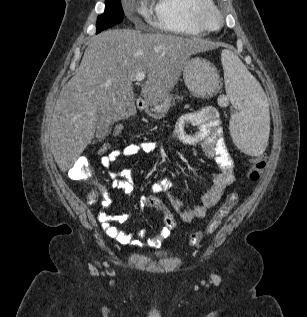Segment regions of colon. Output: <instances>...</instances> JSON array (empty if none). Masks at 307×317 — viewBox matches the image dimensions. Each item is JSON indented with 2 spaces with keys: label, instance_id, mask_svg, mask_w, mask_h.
I'll return each instance as SVG.
<instances>
[{
  "label": "colon",
  "instance_id": "1",
  "mask_svg": "<svg viewBox=\"0 0 307 317\" xmlns=\"http://www.w3.org/2000/svg\"><path fill=\"white\" fill-rule=\"evenodd\" d=\"M123 130V125L119 124L114 129V136H119ZM113 151L111 142H105L99 147V154L104 156ZM251 167L247 173V178L251 182H256L261 178V175L266 167L267 157L259 156L250 160ZM70 176L73 179L92 181L95 178L94 169L86 158L78 159L73 167L70 169ZM89 198H93V193L89 195ZM239 200V194L236 191L228 193L225 202L219 208L217 213L213 216L205 230L199 232H193L189 235L188 241L192 246L198 245L204 238V236L213 233L222 223L224 218L228 215L231 209L237 204ZM147 206L153 208H159L161 206L160 200L154 196L147 198ZM164 224L170 231L176 227V220L174 216L165 211L164 212Z\"/></svg>",
  "mask_w": 307,
  "mask_h": 317
}]
</instances>
